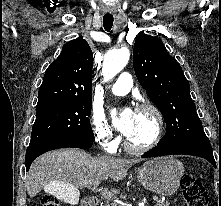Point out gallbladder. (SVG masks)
I'll list each match as a JSON object with an SVG mask.
<instances>
[{"mask_svg":"<svg viewBox=\"0 0 221 206\" xmlns=\"http://www.w3.org/2000/svg\"><path fill=\"white\" fill-rule=\"evenodd\" d=\"M46 194H51L52 198H58V202H66L67 205H78V198L81 193L74 189V185H67V181H54V185H49Z\"/></svg>","mask_w":221,"mask_h":206,"instance_id":"bac80fb5","label":"gallbladder"}]
</instances>
